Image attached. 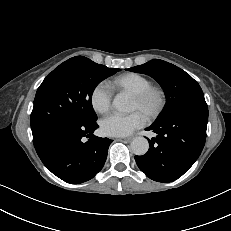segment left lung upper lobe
I'll return each mask as SVG.
<instances>
[{
	"mask_svg": "<svg viewBox=\"0 0 231 231\" xmlns=\"http://www.w3.org/2000/svg\"><path fill=\"white\" fill-rule=\"evenodd\" d=\"M127 70L147 74L154 78L163 88L166 95V105L155 122L162 121L187 106L206 103L202 89L197 81L171 63L153 59L143 65Z\"/></svg>",
	"mask_w": 231,
	"mask_h": 231,
	"instance_id": "5c2ea615",
	"label": "left lung upper lobe"
}]
</instances>
